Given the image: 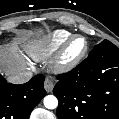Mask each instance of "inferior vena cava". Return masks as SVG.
I'll return each mask as SVG.
<instances>
[{"label":"inferior vena cava","instance_id":"inferior-vena-cava-1","mask_svg":"<svg viewBox=\"0 0 119 119\" xmlns=\"http://www.w3.org/2000/svg\"><path fill=\"white\" fill-rule=\"evenodd\" d=\"M33 74L28 70H21L19 72L8 75L7 80L13 84H23L28 82L32 78Z\"/></svg>","mask_w":119,"mask_h":119}]
</instances>
